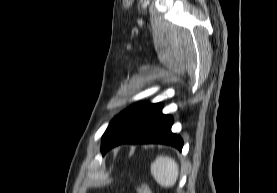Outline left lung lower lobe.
Masks as SVG:
<instances>
[{
	"label": "left lung lower lobe",
	"mask_w": 277,
	"mask_h": 193,
	"mask_svg": "<svg viewBox=\"0 0 277 193\" xmlns=\"http://www.w3.org/2000/svg\"><path fill=\"white\" fill-rule=\"evenodd\" d=\"M161 109L160 103H137L121 112L103 135L102 154L122 143H162L181 151V137L171 132L173 119Z\"/></svg>",
	"instance_id": "0a47b994"
}]
</instances>
